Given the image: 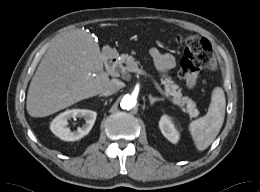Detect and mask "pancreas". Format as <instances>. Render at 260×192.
<instances>
[{
    "mask_svg": "<svg viewBox=\"0 0 260 192\" xmlns=\"http://www.w3.org/2000/svg\"><path fill=\"white\" fill-rule=\"evenodd\" d=\"M137 64L138 62L135 61V59L131 55L122 54L119 61V72L122 74V77L124 79H129V69ZM160 80L161 84L164 85V93L167 96L172 97V101L174 104L181 106L183 111L189 113V116L191 118L197 117L199 115L196 104L189 97H182L181 89L177 84H175L170 76L166 74H161Z\"/></svg>",
    "mask_w": 260,
    "mask_h": 192,
    "instance_id": "pancreas-1",
    "label": "pancreas"
}]
</instances>
